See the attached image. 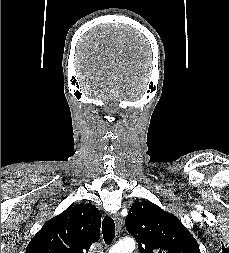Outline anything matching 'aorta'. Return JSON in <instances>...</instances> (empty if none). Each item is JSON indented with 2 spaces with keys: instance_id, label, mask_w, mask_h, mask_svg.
<instances>
[{
  "instance_id": "aorta-1",
  "label": "aorta",
  "mask_w": 229,
  "mask_h": 253,
  "mask_svg": "<svg viewBox=\"0 0 229 253\" xmlns=\"http://www.w3.org/2000/svg\"><path fill=\"white\" fill-rule=\"evenodd\" d=\"M135 248V241L130 238H125L116 243L109 253H132Z\"/></svg>"
}]
</instances>
